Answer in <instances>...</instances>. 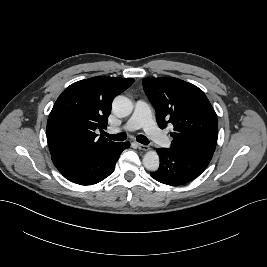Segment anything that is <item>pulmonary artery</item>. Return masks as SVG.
Segmentation results:
<instances>
[{
	"instance_id": "1",
	"label": "pulmonary artery",
	"mask_w": 267,
	"mask_h": 267,
	"mask_svg": "<svg viewBox=\"0 0 267 267\" xmlns=\"http://www.w3.org/2000/svg\"><path fill=\"white\" fill-rule=\"evenodd\" d=\"M140 128H143L149 137L160 146L168 147L170 145L169 138L156 126L149 104L143 100L136 102L132 116L123 127L110 128L109 131L115 133L120 130L134 131Z\"/></svg>"
}]
</instances>
